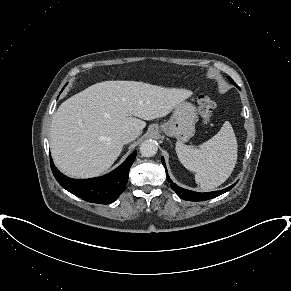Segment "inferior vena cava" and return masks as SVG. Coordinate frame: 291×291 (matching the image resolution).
Wrapping results in <instances>:
<instances>
[{"label":"inferior vena cava","mask_w":291,"mask_h":291,"mask_svg":"<svg viewBox=\"0 0 291 291\" xmlns=\"http://www.w3.org/2000/svg\"><path fill=\"white\" fill-rule=\"evenodd\" d=\"M139 132L137 131H126L122 134L121 136V140L123 142V144H127L133 140H135L138 136H139Z\"/></svg>","instance_id":"inferior-vena-cava-1"}]
</instances>
